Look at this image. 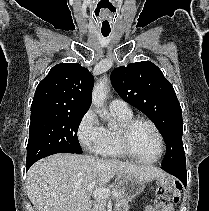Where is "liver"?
Returning a JSON list of instances; mask_svg holds the SVG:
<instances>
[{"label":"liver","instance_id":"6515ba94","mask_svg":"<svg viewBox=\"0 0 209 211\" xmlns=\"http://www.w3.org/2000/svg\"><path fill=\"white\" fill-rule=\"evenodd\" d=\"M114 176L147 183L162 177L163 172L153 166L59 153L31 166L27 193L36 211H93L87 186L96 183L98 188H105Z\"/></svg>","mask_w":209,"mask_h":211}]
</instances>
